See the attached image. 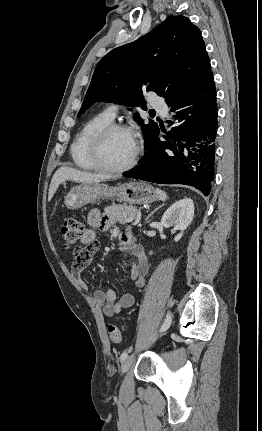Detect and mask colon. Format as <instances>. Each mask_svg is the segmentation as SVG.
<instances>
[{
  "label": "colon",
  "mask_w": 262,
  "mask_h": 431,
  "mask_svg": "<svg viewBox=\"0 0 262 431\" xmlns=\"http://www.w3.org/2000/svg\"><path fill=\"white\" fill-rule=\"evenodd\" d=\"M85 233V223L76 218L67 219L62 226L63 243L66 247H78L81 242V237ZM86 245L79 250V254L86 249ZM79 248V247H78ZM107 332L110 341L119 342L121 334L116 324H108Z\"/></svg>",
  "instance_id": "obj_1"
}]
</instances>
